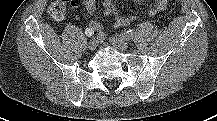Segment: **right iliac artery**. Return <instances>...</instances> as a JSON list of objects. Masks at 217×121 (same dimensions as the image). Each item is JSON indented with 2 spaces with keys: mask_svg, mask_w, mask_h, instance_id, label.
<instances>
[{
  "mask_svg": "<svg viewBox=\"0 0 217 121\" xmlns=\"http://www.w3.org/2000/svg\"><path fill=\"white\" fill-rule=\"evenodd\" d=\"M95 39V38H94ZM97 41H101V37L99 35L96 36ZM95 39V40H96Z\"/></svg>",
  "mask_w": 217,
  "mask_h": 121,
  "instance_id": "obj_1",
  "label": "right iliac artery"
}]
</instances>
